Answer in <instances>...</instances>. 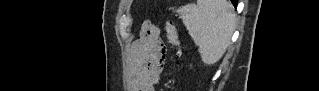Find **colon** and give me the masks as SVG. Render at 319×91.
Returning a JSON list of instances; mask_svg holds the SVG:
<instances>
[{"label": "colon", "mask_w": 319, "mask_h": 91, "mask_svg": "<svg viewBox=\"0 0 319 91\" xmlns=\"http://www.w3.org/2000/svg\"><path fill=\"white\" fill-rule=\"evenodd\" d=\"M166 32H167V38L169 43L174 46L177 47L178 45V33L175 27V24L173 21H168L166 24ZM152 60V56H148L146 58V63L150 64Z\"/></svg>", "instance_id": "colon-1"}]
</instances>
